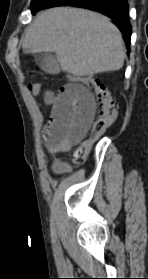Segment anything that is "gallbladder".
<instances>
[{"label":"gallbladder","instance_id":"gallbladder-1","mask_svg":"<svg viewBox=\"0 0 148 279\" xmlns=\"http://www.w3.org/2000/svg\"><path fill=\"white\" fill-rule=\"evenodd\" d=\"M35 62L39 66V68L48 74L57 75L60 73V66L55 58L49 52H42L35 55Z\"/></svg>","mask_w":148,"mask_h":279}]
</instances>
